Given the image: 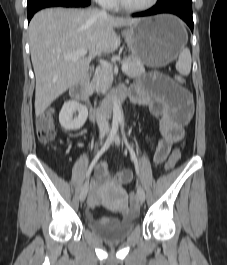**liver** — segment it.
<instances>
[{"mask_svg":"<svg viewBox=\"0 0 227 265\" xmlns=\"http://www.w3.org/2000/svg\"><path fill=\"white\" fill-rule=\"evenodd\" d=\"M139 21L103 15L91 8H51L36 13L28 29L36 77V116L86 75L94 56L113 53L120 46L115 28ZM81 49L88 51V56L77 60L64 58L65 54Z\"/></svg>","mask_w":227,"mask_h":265,"instance_id":"6515ba94","label":"liver"}]
</instances>
